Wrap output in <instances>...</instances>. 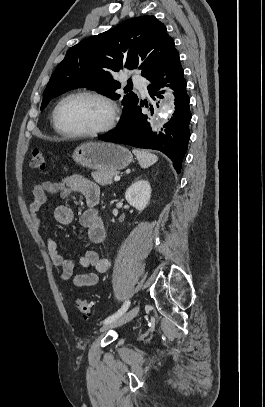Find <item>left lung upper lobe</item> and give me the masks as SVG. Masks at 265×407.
<instances>
[{
	"label": "left lung upper lobe",
	"instance_id": "1",
	"mask_svg": "<svg viewBox=\"0 0 265 407\" xmlns=\"http://www.w3.org/2000/svg\"><path fill=\"white\" fill-rule=\"evenodd\" d=\"M179 61L173 39L156 17L129 19L111 30L81 41L67 51L43 93L41 110L52 98L77 87L96 89L118 100L120 95L116 90L121 84L113 79V72L138 68L142 76L149 80L151 77H162L163 72L168 74ZM122 104L124 109L119 124L137 106V95L128 93Z\"/></svg>",
	"mask_w": 265,
	"mask_h": 407
}]
</instances>
